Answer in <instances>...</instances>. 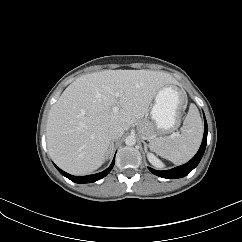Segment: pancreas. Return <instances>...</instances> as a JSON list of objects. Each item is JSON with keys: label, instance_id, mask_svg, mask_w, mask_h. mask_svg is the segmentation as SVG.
<instances>
[{"label": "pancreas", "instance_id": "1", "mask_svg": "<svg viewBox=\"0 0 242 242\" xmlns=\"http://www.w3.org/2000/svg\"><path fill=\"white\" fill-rule=\"evenodd\" d=\"M138 129H139L140 132H142L144 134L143 137H145L146 135L151 134V130L153 129V125L149 121H142L139 124Z\"/></svg>", "mask_w": 242, "mask_h": 242}]
</instances>
